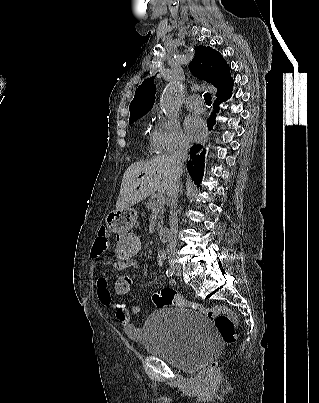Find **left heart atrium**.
Returning a JSON list of instances; mask_svg holds the SVG:
<instances>
[{"label":"left heart atrium","mask_w":319,"mask_h":403,"mask_svg":"<svg viewBox=\"0 0 319 403\" xmlns=\"http://www.w3.org/2000/svg\"><path fill=\"white\" fill-rule=\"evenodd\" d=\"M185 132L192 141L202 138L205 132V126L202 119L196 115H190L185 120Z\"/></svg>","instance_id":"obj_1"}]
</instances>
